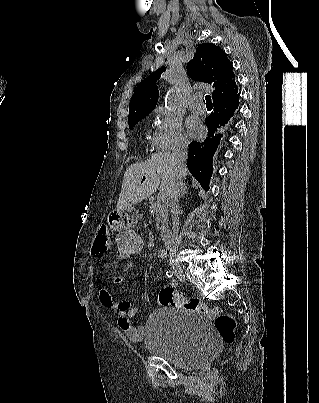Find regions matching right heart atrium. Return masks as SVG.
I'll list each match as a JSON object with an SVG mask.
<instances>
[{
    "mask_svg": "<svg viewBox=\"0 0 319 403\" xmlns=\"http://www.w3.org/2000/svg\"><path fill=\"white\" fill-rule=\"evenodd\" d=\"M155 130L152 146L159 151H171L185 148L187 138L184 134L181 118L169 109L159 106L154 110Z\"/></svg>",
    "mask_w": 319,
    "mask_h": 403,
    "instance_id": "right-heart-atrium-1",
    "label": "right heart atrium"
}]
</instances>
